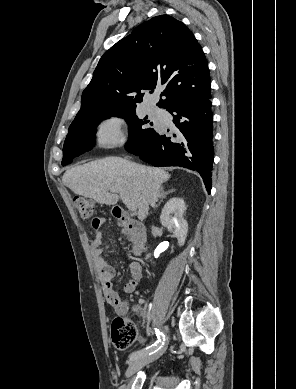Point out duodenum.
I'll return each mask as SVG.
<instances>
[{"label":"duodenum","mask_w":296,"mask_h":389,"mask_svg":"<svg viewBox=\"0 0 296 389\" xmlns=\"http://www.w3.org/2000/svg\"><path fill=\"white\" fill-rule=\"evenodd\" d=\"M113 215L128 231L130 239L133 241V253L139 255L144 246V239L146 236L145 227L131 218L127 212L120 207H115L113 209Z\"/></svg>","instance_id":"410a0bca"}]
</instances>
